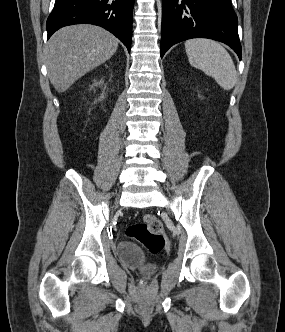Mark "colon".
Wrapping results in <instances>:
<instances>
[{"label": "colon", "instance_id": "colon-1", "mask_svg": "<svg viewBox=\"0 0 285 332\" xmlns=\"http://www.w3.org/2000/svg\"><path fill=\"white\" fill-rule=\"evenodd\" d=\"M126 235L152 254L159 253L168 247L161 222L151 214L145 215L141 222L129 225Z\"/></svg>", "mask_w": 285, "mask_h": 332}]
</instances>
